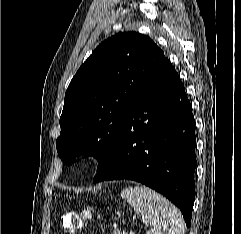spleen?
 Returning <instances> with one entry per match:
<instances>
[{
	"label": "spleen",
	"instance_id": "spleen-1",
	"mask_svg": "<svg viewBox=\"0 0 241 234\" xmlns=\"http://www.w3.org/2000/svg\"><path fill=\"white\" fill-rule=\"evenodd\" d=\"M124 198L141 215L152 234H184V221L178 209L164 196L142 185L121 191Z\"/></svg>",
	"mask_w": 241,
	"mask_h": 234
}]
</instances>
